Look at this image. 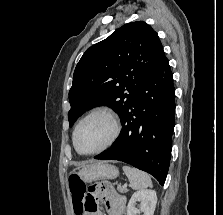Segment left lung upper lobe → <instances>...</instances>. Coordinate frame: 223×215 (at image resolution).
<instances>
[{
  "label": "left lung upper lobe",
  "instance_id": "obj_1",
  "mask_svg": "<svg viewBox=\"0 0 223 215\" xmlns=\"http://www.w3.org/2000/svg\"><path fill=\"white\" fill-rule=\"evenodd\" d=\"M165 59L157 33L144 21L127 23L88 48L69 91L70 126L100 105L109 106L122 119L145 79Z\"/></svg>",
  "mask_w": 223,
  "mask_h": 215
}]
</instances>
